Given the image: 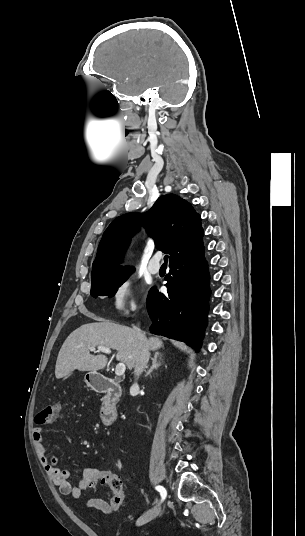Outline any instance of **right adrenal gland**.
<instances>
[{
	"label": "right adrenal gland",
	"instance_id": "1",
	"mask_svg": "<svg viewBox=\"0 0 305 536\" xmlns=\"http://www.w3.org/2000/svg\"><path fill=\"white\" fill-rule=\"evenodd\" d=\"M158 356H160L159 352H155L154 358H152V360H153L152 366H151L150 370H147L146 376H149V374H151V372H153V370H157V368H160L161 364H159V362H157Z\"/></svg>",
	"mask_w": 305,
	"mask_h": 536
}]
</instances>
